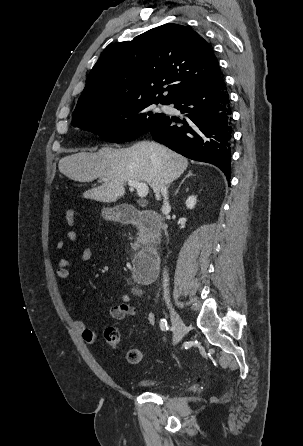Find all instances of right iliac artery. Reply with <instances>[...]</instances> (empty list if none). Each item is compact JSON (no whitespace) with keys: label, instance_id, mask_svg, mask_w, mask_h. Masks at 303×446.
<instances>
[{"label":"right iliac artery","instance_id":"right-iliac-artery-1","mask_svg":"<svg viewBox=\"0 0 303 446\" xmlns=\"http://www.w3.org/2000/svg\"><path fill=\"white\" fill-rule=\"evenodd\" d=\"M160 328H161L162 331H168L169 326L167 324L166 319H161L160 320Z\"/></svg>","mask_w":303,"mask_h":446}]
</instances>
